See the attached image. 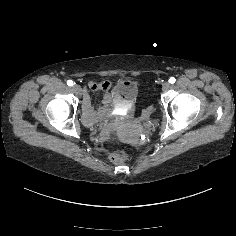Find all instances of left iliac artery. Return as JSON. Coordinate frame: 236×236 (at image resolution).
Returning a JSON list of instances; mask_svg holds the SVG:
<instances>
[{
	"label": "left iliac artery",
	"instance_id": "obj_1",
	"mask_svg": "<svg viewBox=\"0 0 236 236\" xmlns=\"http://www.w3.org/2000/svg\"><path fill=\"white\" fill-rule=\"evenodd\" d=\"M175 81H176V79H175L174 77H171V78L169 79V83H171V84L175 83Z\"/></svg>",
	"mask_w": 236,
	"mask_h": 236
}]
</instances>
